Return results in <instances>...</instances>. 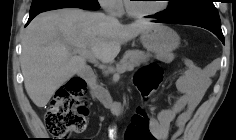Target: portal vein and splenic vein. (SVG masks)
<instances>
[{"label": "portal vein and splenic vein", "mask_w": 236, "mask_h": 140, "mask_svg": "<svg viewBox=\"0 0 236 140\" xmlns=\"http://www.w3.org/2000/svg\"><path fill=\"white\" fill-rule=\"evenodd\" d=\"M78 52L84 58L90 59L93 62L96 61V57L90 51H88L86 48H81V49L78 50ZM117 71L119 73H123L125 71V68H118Z\"/></svg>", "instance_id": "18ae733b"}]
</instances>
